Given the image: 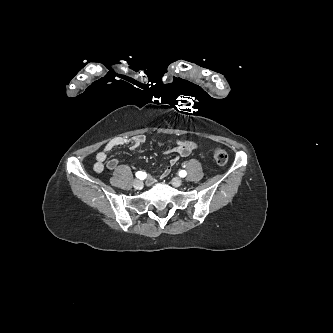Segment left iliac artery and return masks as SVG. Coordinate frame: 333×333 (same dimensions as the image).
Segmentation results:
<instances>
[{"label":"left iliac artery","instance_id":"obj_1","mask_svg":"<svg viewBox=\"0 0 333 333\" xmlns=\"http://www.w3.org/2000/svg\"><path fill=\"white\" fill-rule=\"evenodd\" d=\"M187 175V172L185 171V170H181V171H179V176L180 177H185Z\"/></svg>","mask_w":333,"mask_h":333}]
</instances>
